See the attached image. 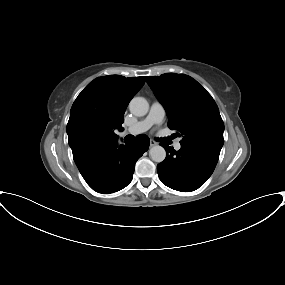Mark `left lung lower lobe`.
Wrapping results in <instances>:
<instances>
[{
	"mask_svg": "<svg viewBox=\"0 0 285 285\" xmlns=\"http://www.w3.org/2000/svg\"><path fill=\"white\" fill-rule=\"evenodd\" d=\"M162 146L167 155L157 165L159 178L166 186L182 192L202 186L213 173L220 154L201 147L181 145V149L175 151L168 145Z\"/></svg>",
	"mask_w": 285,
	"mask_h": 285,
	"instance_id": "0a47b994",
	"label": "left lung lower lobe"
}]
</instances>
